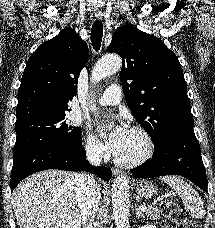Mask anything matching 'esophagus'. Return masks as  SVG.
<instances>
[{"label": "esophagus", "mask_w": 215, "mask_h": 228, "mask_svg": "<svg viewBox=\"0 0 215 228\" xmlns=\"http://www.w3.org/2000/svg\"><path fill=\"white\" fill-rule=\"evenodd\" d=\"M95 17L100 20L103 17V15L102 14H96ZM112 172L115 176L120 175V173H121L120 170H117V169H113Z\"/></svg>", "instance_id": "34e87169"}]
</instances>
